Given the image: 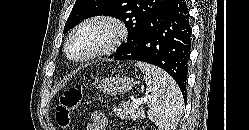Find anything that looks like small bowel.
Masks as SVG:
<instances>
[{
    "instance_id": "c3829d8e",
    "label": "small bowel",
    "mask_w": 249,
    "mask_h": 130,
    "mask_svg": "<svg viewBox=\"0 0 249 130\" xmlns=\"http://www.w3.org/2000/svg\"><path fill=\"white\" fill-rule=\"evenodd\" d=\"M107 127V117L101 111H94L91 120L86 126V130H105Z\"/></svg>"
}]
</instances>
